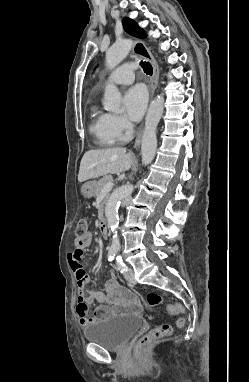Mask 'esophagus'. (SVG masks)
<instances>
[{"label": "esophagus", "instance_id": "obj_1", "mask_svg": "<svg viewBox=\"0 0 249 382\" xmlns=\"http://www.w3.org/2000/svg\"><path fill=\"white\" fill-rule=\"evenodd\" d=\"M133 52L145 59H147L152 67H153V74L150 78V98H153V95L155 93V90L158 86V79H159V66L157 64V61L155 60L154 56L150 52V50L147 48V46L144 44L141 40H136L133 44ZM143 133V126L139 129L136 139H135V146H139L141 142V137Z\"/></svg>", "mask_w": 249, "mask_h": 382}]
</instances>
